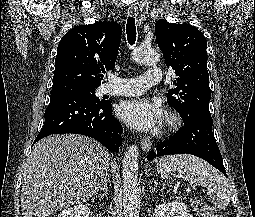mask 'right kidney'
Here are the masks:
<instances>
[{
	"mask_svg": "<svg viewBox=\"0 0 255 217\" xmlns=\"http://www.w3.org/2000/svg\"><path fill=\"white\" fill-rule=\"evenodd\" d=\"M90 209L85 205H77L64 209L58 217H89Z\"/></svg>",
	"mask_w": 255,
	"mask_h": 217,
	"instance_id": "ca27d5eb",
	"label": "right kidney"
}]
</instances>
